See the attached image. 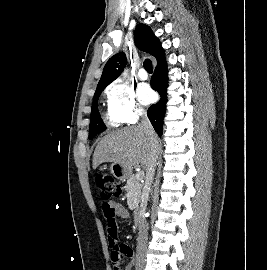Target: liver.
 Listing matches in <instances>:
<instances>
[{
    "label": "liver",
    "mask_w": 267,
    "mask_h": 270,
    "mask_svg": "<svg viewBox=\"0 0 267 270\" xmlns=\"http://www.w3.org/2000/svg\"><path fill=\"white\" fill-rule=\"evenodd\" d=\"M151 140L139 126L115 130L107 134L96 146L93 155V169L105 162L119 163L132 169L141 165L147 170L151 162ZM154 143L160 149V141L155 135Z\"/></svg>",
    "instance_id": "obj_1"
}]
</instances>
